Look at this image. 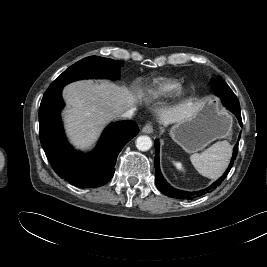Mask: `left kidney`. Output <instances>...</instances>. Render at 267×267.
Listing matches in <instances>:
<instances>
[{
	"instance_id": "obj_1",
	"label": "left kidney",
	"mask_w": 267,
	"mask_h": 267,
	"mask_svg": "<svg viewBox=\"0 0 267 267\" xmlns=\"http://www.w3.org/2000/svg\"><path fill=\"white\" fill-rule=\"evenodd\" d=\"M175 166L178 170H183L182 164L181 163H175Z\"/></svg>"
}]
</instances>
